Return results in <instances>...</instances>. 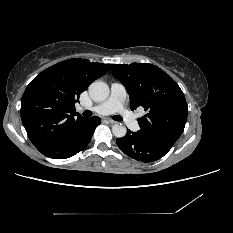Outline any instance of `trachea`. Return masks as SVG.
Wrapping results in <instances>:
<instances>
[{
  "label": "trachea",
  "mask_w": 233,
  "mask_h": 233,
  "mask_svg": "<svg viewBox=\"0 0 233 233\" xmlns=\"http://www.w3.org/2000/svg\"><path fill=\"white\" fill-rule=\"evenodd\" d=\"M83 116L84 117H91L92 116V112L90 110H85L83 112ZM112 118L115 121H122V118L119 115H114Z\"/></svg>",
  "instance_id": "trachea-1"
}]
</instances>
